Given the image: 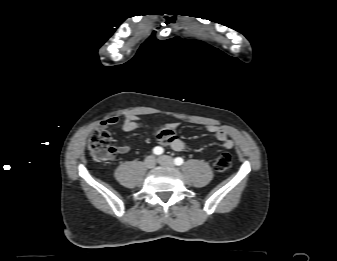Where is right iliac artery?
Segmentation results:
<instances>
[{
	"label": "right iliac artery",
	"mask_w": 337,
	"mask_h": 261,
	"mask_svg": "<svg viewBox=\"0 0 337 261\" xmlns=\"http://www.w3.org/2000/svg\"><path fill=\"white\" fill-rule=\"evenodd\" d=\"M163 152H164V150H163V148L160 147V146H157V147H155V148L153 149V153H154L155 155H161Z\"/></svg>",
	"instance_id": "right-iliac-artery-1"
}]
</instances>
